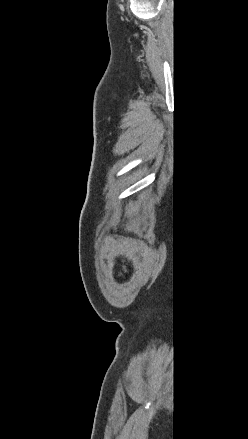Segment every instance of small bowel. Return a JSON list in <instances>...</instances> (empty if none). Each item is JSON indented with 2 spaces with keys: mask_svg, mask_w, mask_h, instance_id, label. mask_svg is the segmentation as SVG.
I'll return each instance as SVG.
<instances>
[{
  "mask_svg": "<svg viewBox=\"0 0 248 439\" xmlns=\"http://www.w3.org/2000/svg\"><path fill=\"white\" fill-rule=\"evenodd\" d=\"M126 267L125 266H117V268H116V273H117V276L119 277V278H124V274H125V272H126Z\"/></svg>",
  "mask_w": 248,
  "mask_h": 439,
  "instance_id": "1",
  "label": "small bowel"
}]
</instances>
